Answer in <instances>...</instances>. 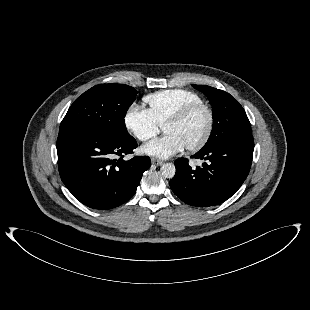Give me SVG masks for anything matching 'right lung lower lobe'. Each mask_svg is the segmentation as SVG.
<instances>
[{
    "instance_id": "1",
    "label": "right lung lower lobe",
    "mask_w": 310,
    "mask_h": 310,
    "mask_svg": "<svg viewBox=\"0 0 310 310\" xmlns=\"http://www.w3.org/2000/svg\"><path fill=\"white\" fill-rule=\"evenodd\" d=\"M137 147L129 136L112 139L80 130L59 132L58 168L67 189L84 205L111 209L129 200L136 192L150 158L124 155Z\"/></svg>"
}]
</instances>
